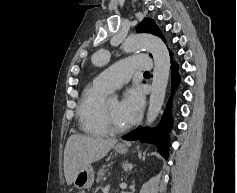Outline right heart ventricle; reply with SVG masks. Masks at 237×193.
Returning a JSON list of instances; mask_svg holds the SVG:
<instances>
[{"instance_id": "1", "label": "right heart ventricle", "mask_w": 237, "mask_h": 193, "mask_svg": "<svg viewBox=\"0 0 237 193\" xmlns=\"http://www.w3.org/2000/svg\"><path fill=\"white\" fill-rule=\"evenodd\" d=\"M109 92V89L96 80L84 88L77 108V118L84 133L92 136H104L109 133L100 116L102 101Z\"/></svg>"}]
</instances>
